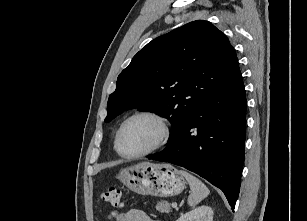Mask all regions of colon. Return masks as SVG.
Masks as SVG:
<instances>
[{
    "instance_id": "colon-1",
    "label": "colon",
    "mask_w": 307,
    "mask_h": 221,
    "mask_svg": "<svg viewBox=\"0 0 307 221\" xmlns=\"http://www.w3.org/2000/svg\"><path fill=\"white\" fill-rule=\"evenodd\" d=\"M101 200L112 206L120 207L123 203V193L117 187H109L101 193Z\"/></svg>"
}]
</instances>
